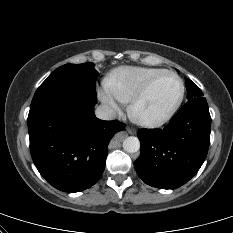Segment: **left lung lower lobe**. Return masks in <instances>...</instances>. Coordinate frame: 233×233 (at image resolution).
<instances>
[{
    "label": "left lung lower lobe",
    "mask_w": 233,
    "mask_h": 233,
    "mask_svg": "<svg viewBox=\"0 0 233 233\" xmlns=\"http://www.w3.org/2000/svg\"><path fill=\"white\" fill-rule=\"evenodd\" d=\"M211 117L206 99L196 97L159 130H140V157L134 162L138 176L148 185L176 189L202 166L209 147Z\"/></svg>",
    "instance_id": "obj_1"
}]
</instances>
